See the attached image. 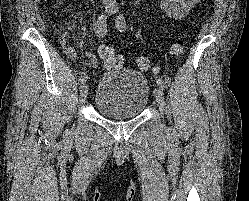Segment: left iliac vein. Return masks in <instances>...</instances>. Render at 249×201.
Returning <instances> with one entry per match:
<instances>
[{"instance_id":"obj_1","label":"left iliac vein","mask_w":249,"mask_h":201,"mask_svg":"<svg viewBox=\"0 0 249 201\" xmlns=\"http://www.w3.org/2000/svg\"><path fill=\"white\" fill-rule=\"evenodd\" d=\"M155 98H156V102H157V104H158V107H159L161 113H163L165 101H164V93H163V90H162L160 87H158V88L155 90Z\"/></svg>"}]
</instances>
